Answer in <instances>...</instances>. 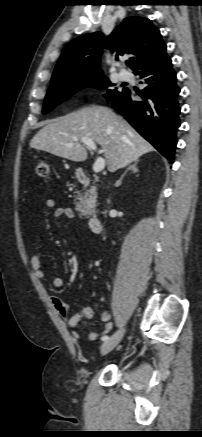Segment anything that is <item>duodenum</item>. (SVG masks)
Here are the masks:
<instances>
[{"label":"duodenum","instance_id":"obj_1","mask_svg":"<svg viewBox=\"0 0 202 437\" xmlns=\"http://www.w3.org/2000/svg\"><path fill=\"white\" fill-rule=\"evenodd\" d=\"M77 180L82 184L90 183L89 175L82 170L77 172ZM88 226L93 233H99L102 229V223L100 218L96 214L90 215V217L88 218Z\"/></svg>","mask_w":202,"mask_h":437}]
</instances>
